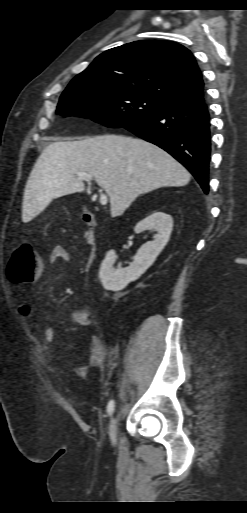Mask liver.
<instances>
[{
  "label": "liver",
  "mask_w": 247,
  "mask_h": 513,
  "mask_svg": "<svg viewBox=\"0 0 247 513\" xmlns=\"http://www.w3.org/2000/svg\"><path fill=\"white\" fill-rule=\"evenodd\" d=\"M78 172L91 174L110 199L111 216L122 215L141 194L189 183L188 170L160 147L140 138L98 135L47 146L30 173L23 217L40 214L52 199L83 192Z\"/></svg>",
  "instance_id": "liver-1"
}]
</instances>
